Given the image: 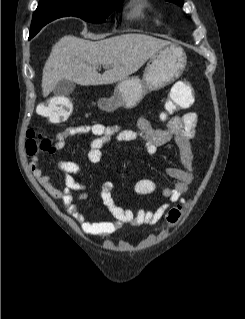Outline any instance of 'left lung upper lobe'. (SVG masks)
<instances>
[{
    "label": "left lung upper lobe",
    "mask_w": 245,
    "mask_h": 319,
    "mask_svg": "<svg viewBox=\"0 0 245 319\" xmlns=\"http://www.w3.org/2000/svg\"><path fill=\"white\" fill-rule=\"evenodd\" d=\"M175 4H178L179 6H183V0H166Z\"/></svg>",
    "instance_id": "1"
}]
</instances>
